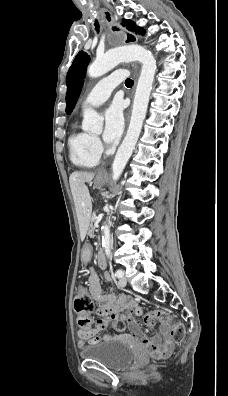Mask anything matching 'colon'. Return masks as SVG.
<instances>
[{
    "mask_svg": "<svg viewBox=\"0 0 228 396\" xmlns=\"http://www.w3.org/2000/svg\"><path fill=\"white\" fill-rule=\"evenodd\" d=\"M94 304L88 294L87 290L80 285L78 287L75 299H74V310L77 314V323L80 329H85L90 326V319L88 314L93 310ZM160 322L169 332L173 342L179 343L185 337V327L179 322L175 321L171 315L162 309H156L148 312L144 316V322L149 327H154L156 322ZM115 327L122 331L126 325L124 322L117 320Z\"/></svg>",
    "mask_w": 228,
    "mask_h": 396,
    "instance_id": "obj_1",
    "label": "colon"
}]
</instances>
